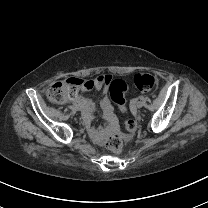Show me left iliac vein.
Wrapping results in <instances>:
<instances>
[{
    "label": "left iliac vein",
    "mask_w": 208,
    "mask_h": 208,
    "mask_svg": "<svg viewBox=\"0 0 208 208\" xmlns=\"http://www.w3.org/2000/svg\"><path fill=\"white\" fill-rule=\"evenodd\" d=\"M143 105H144L143 101H138L136 104L137 108H142Z\"/></svg>",
    "instance_id": "obj_1"
}]
</instances>
